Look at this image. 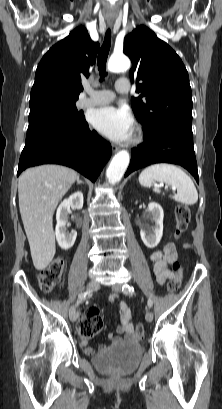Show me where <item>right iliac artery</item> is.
Listing matches in <instances>:
<instances>
[{"mask_svg":"<svg viewBox=\"0 0 222 409\" xmlns=\"http://www.w3.org/2000/svg\"><path fill=\"white\" fill-rule=\"evenodd\" d=\"M90 295V293L84 292V293H80L78 295V300L76 302V306H78L83 300H85L88 296Z\"/></svg>","mask_w":222,"mask_h":409,"instance_id":"82829eb1","label":"right iliac artery"}]
</instances>
